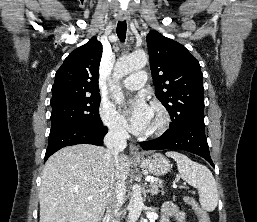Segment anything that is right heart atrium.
Returning <instances> with one entry per match:
<instances>
[{
	"instance_id": "1",
	"label": "right heart atrium",
	"mask_w": 257,
	"mask_h": 222,
	"mask_svg": "<svg viewBox=\"0 0 257 222\" xmlns=\"http://www.w3.org/2000/svg\"><path fill=\"white\" fill-rule=\"evenodd\" d=\"M99 116L111 135L118 138H124L126 136L122 120L112 105L101 103L99 107Z\"/></svg>"
}]
</instances>
